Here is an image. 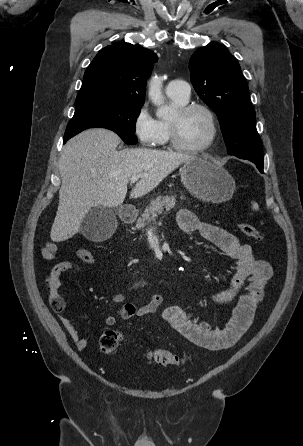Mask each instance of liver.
I'll use <instances>...</instances> for the list:
<instances>
[{
    "mask_svg": "<svg viewBox=\"0 0 303 446\" xmlns=\"http://www.w3.org/2000/svg\"><path fill=\"white\" fill-rule=\"evenodd\" d=\"M120 138L106 129L86 130L65 145L59 159L62 185L51 228L53 242L74 236L92 207L115 208L126 197L127 184L141 175L130 193L139 198L154 188L192 155L137 148L117 151Z\"/></svg>",
    "mask_w": 303,
    "mask_h": 446,
    "instance_id": "obj_1",
    "label": "liver"
}]
</instances>
